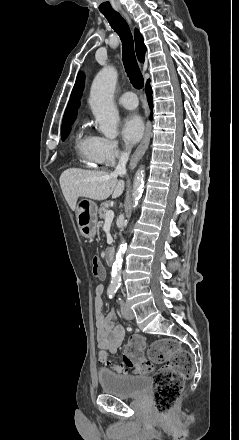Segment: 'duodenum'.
<instances>
[{"mask_svg": "<svg viewBox=\"0 0 239 440\" xmlns=\"http://www.w3.org/2000/svg\"><path fill=\"white\" fill-rule=\"evenodd\" d=\"M114 249L113 248H108L105 252V258H106V262L108 264H111L114 260Z\"/></svg>", "mask_w": 239, "mask_h": 440, "instance_id": "obj_1", "label": "duodenum"}]
</instances>
